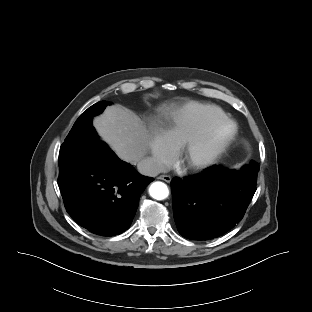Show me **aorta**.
Listing matches in <instances>:
<instances>
[{"instance_id":"obj_1","label":"aorta","mask_w":312,"mask_h":312,"mask_svg":"<svg viewBox=\"0 0 312 312\" xmlns=\"http://www.w3.org/2000/svg\"><path fill=\"white\" fill-rule=\"evenodd\" d=\"M149 194L156 200H164L169 195V189L165 183L157 181L149 187Z\"/></svg>"}]
</instances>
